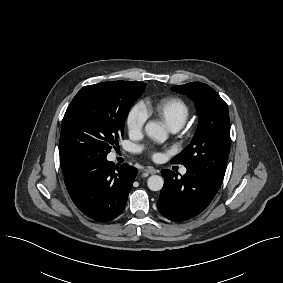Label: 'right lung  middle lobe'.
Listing matches in <instances>:
<instances>
[{
    "label": "right lung middle lobe",
    "instance_id": "dd1d6c3e",
    "mask_svg": "<svg viewBox=\"0 0 283 283\" xmlns=\"http://www.w3.org/2000/svg\"><path fill=\"white\" fill-rule=\"evenodd\" d=\"M145 86L143 82L111 81L83 87L64 115L60 153L77 161L106 156L118 145L129 109Z\"/></svg>",
    "mask_w": 283,
    "mask_h": 283
}]
</instances>
